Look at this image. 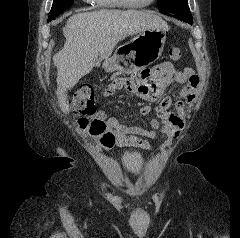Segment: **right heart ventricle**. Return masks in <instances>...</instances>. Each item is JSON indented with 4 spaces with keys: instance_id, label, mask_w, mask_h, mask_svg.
<instances>
[{
    "instance_id": "obj_1",
    "label": "right heart ventricle",
    "mask_w": 240,
    "mask_h": 238,
    "mask_svg": "<svg viewBox=\"0 0 240 238\" xmlns=\"http://www.w3.org/2000/svg\"><path fill=\"white\" fill-rule=\"evenodd\" d=\"M94 2L105 8H123V6L119 0H94Z\"/></svg>"
}]
</instances>
